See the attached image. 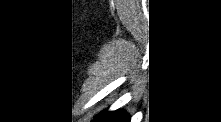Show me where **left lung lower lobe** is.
<instances>
[{
    "mask_svg": "<svg viewBox=\"0 0 221 122\" xmlns=\"http://www.w3.org/2000/svg\"><path fill=\"white\" fill-rule=\"evenodd\" d=\"M104 120L106 122H130V117L123 110L113 112H102L95 117V121Z\"/></svg>",
    "mask_w": 221,
    "mask_h": 122,
    "instance_id": "obj_1",
    "label": "left lung lower lobe"
}]
</instances>
